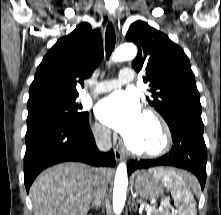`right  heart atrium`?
<instances>
[{
	"mask_svg": "<svg viewBox=\"0 0 221 215\" xmlns=\"http://www.w3.org/2000/svg\"><path fill=\"white\" fill-rule=\"evenodd\" d=\"M92 132L94 137L100 142H108L110 140L109 130L97 122L93 124Z\"/></svg>",
	"mask_w": 221,
	"mask_h": 215,
	"instance_id": "d8ad5b80",
	"label": "right heart atrium"
}]
</instances>
